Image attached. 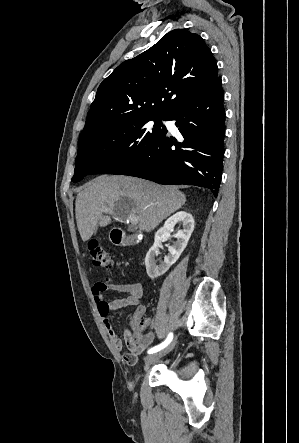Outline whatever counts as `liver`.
<instances>
[{"label":"liver","instance_id":"1","mask_svg":"<svg viewBox=\"0 0 299 443\" xmlns=\"http://www.w3.org/2000/svg\"><path fill=\"white\" fill-rule=\"evenodd\" d=\"M186 202L181 191L127 176L96 177L77 194L75 214L78 231L88 241L98 225L106 227L111 217L124 221L138 218L140 231L150 232ZM110 212L103 214V209Z\"/></svg>","mask_w":299,"mask_h":443}]
</instances>
